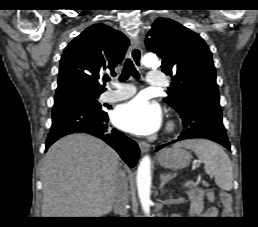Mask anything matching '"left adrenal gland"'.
<instances>
[{
  "instance_id": "a2214340",
  "label": "left adrenal gland",
  "mask_w": 258,
  "mask_h": 227,
  "mask_svg": "<svg viewBox=\"0 0 258 227\" xmlns=\"http://www.w3.org/2000/svg\"><path fill=\"white\" fill-rule=\"evenodd\" d=\"M175 175H171V174H161L160 175V179H161V183H160V190L163 189L164 185L171 180L172 178H174Z\"/></svg>"
}]
</instances>
